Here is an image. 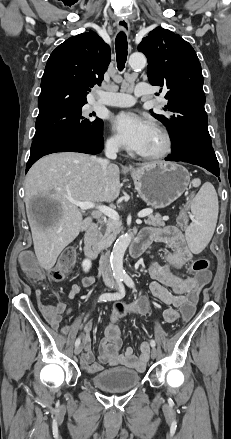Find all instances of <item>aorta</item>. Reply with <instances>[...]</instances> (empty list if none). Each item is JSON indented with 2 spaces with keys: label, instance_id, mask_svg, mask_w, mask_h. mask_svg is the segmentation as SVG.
I'll return each instance as SVG.
<instances>
[{
  "label": "aorta",
  "instance_id": "1",
  "mask_svg": "<svg viewBox=\"0 0 231 439\" xmlns=\"http://www.w3.org/2000/svg\"><path fill=\"white\" fill-rule=\"evenodd\" d=\"M146 57L142 53H133L129 57V65L132 69H142L146 65ZM132 240L131 234H123L120 236L114 244L110 263L115 278H122L126 276V272L123 268L124 253Z\"/></svg>",
  "mask_w": 231,
  "mask_h": 439
}]
</instances>
